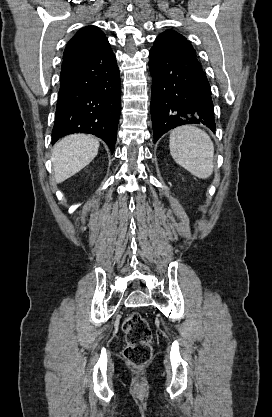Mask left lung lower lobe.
<instances>
[{
	"instance_id": "1",
	"label": "left lung lower lobe",
	"mask_w": 272,
	"mask_h": 417,
	"mask_svg": "<svg viewBox=\"0 0 272 417\" xmlns=\"http://www.w3.org/2000/svg\"><path fill=\"white\" fill-rule=\"evenodd\" d=\"M149 69L154 142L184 124H201L215 132L211 89L196 56L152 47Z\"/></svg>"
}]
</instances>
